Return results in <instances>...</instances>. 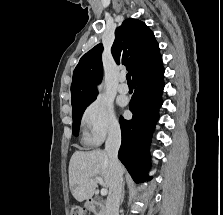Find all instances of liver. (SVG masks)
Here are the masks:
<instances>
[{"label": "liver", "mask_w": 223, "mask_h": 215, "mask_svg": "<svg viewBox=\"0 0 223 215\" xmlns=\"http://www.w3.org/2000/svg\"><path fill=\"white\" fill-rule=\"evenodd\" d=\"M122 171H125L124 167ZM94 175H102L105 187H110L112 175L107 151H74L69 163V185L75 199H91L98 183Z\"/></svg>", "instance_id": "liver-1"}]
</instances>
